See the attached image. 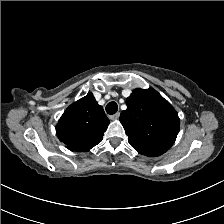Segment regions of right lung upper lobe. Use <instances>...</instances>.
Returning <instances> with one entry per match:
<instances>
[{"label":"right lung upper lobe","instance_id":"right-lung-upper-lobe-1","mask_svg":"<svg viewBox=\"0 0 224 224\" xmlns=\"http://www.w3.org/2000/svg\"><path fill=\"white\" fill-rule=\"evenodd\" d=\"M92 93L71 104L62 114L56 133L72 151H88L101 142L109 124Z\"/></svg>","mask_w":224,"mask_h":224}]
</instances>
